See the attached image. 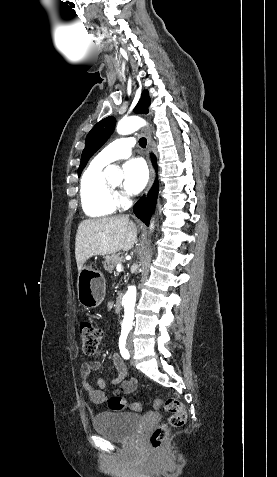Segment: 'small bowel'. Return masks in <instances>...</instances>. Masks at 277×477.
I'll use <instances>...</instances> for the list:
<instances>
[{
    "mask_svg": "<svg viewBox=\"0 0 277 477\" xmlns=\"http://www.w3.org/2000/svg\"><path fill=\"white\" fill-rule=\"evenodd\" d=\"M99 355V352L96 353L88 362L83 364L80 369V378L83 388L87 392L90 400L96 404H102L107 401V395L104 392V389L106 388V381L103 378H98L97 388H95L89 381L90 373L92 371L99 370L101 367ZM112 362L117 371V377L112 380V384H120V387L116 393L125 395L132 393L137 386V380L134 377H130L128 375L127 365L119 353H112Z\"/></svg>",
    "mask_w": 277,
    "mask_h": 477,
    "instance_id": "small-bowel-1",
    "label": "small bowel"
}]
</instances>
